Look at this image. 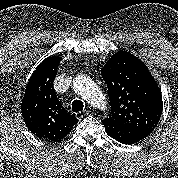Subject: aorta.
<instances>
[{
	"label": "aorta",
	"mask_w": 178,
	"mask_h": 178,
	"mask_svg": "<svg viewBox=\"0 0 178 178\" xmlns=\"http://www.w3.org/2000/svg\"><path fill=\"white\" fill-rule=\"evenodd\" d=\"M73 90L91 105L99 109L106 107L105 96L90 78L81 75L77 76L73 81Z\"/></svg>",
	"instance_id": "1"
}]
</instances>
